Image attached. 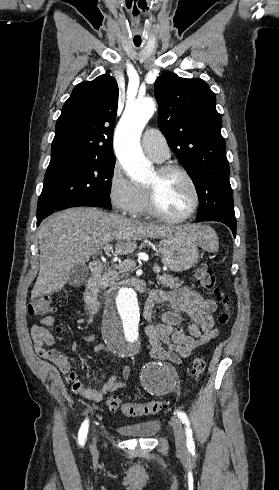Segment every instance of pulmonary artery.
Returning a JSON list of instances; mask_svg holds the SVG:
<instances>
[{
  "label": "pulmonary artery",
  "instance_id": "pulmonary-artery-1",
  "mask_svg": "<svg viewBox=\"0 0 279 490\" xmlns=\"http://www.w3.org/2000/svg\"><path fill=\"white\" fill-rule=\"evenodd\" d=\"M141 141L145 153L156 162H162L169 157V146L159 129L148 128Z\"/></svg>",
  "mask_w": 279,
  "mask_h": 490
}]
</instances>
